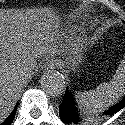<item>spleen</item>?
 <instances>
[{
  "label": "spleen",
  "instance_id": "1",
  "mask_svg": "<svg viewBox=\"0 0 125 125\" xmlns=\"http://www.w3.org/2000/svg\"><path fill=\"white\" fill-rule=\"evenodd\" d=\"M123 95H125V60L120 62L112 81L101 83L95 90L78 92L76 98L87 113H96L108 108Z\"/></svg>",
  "mask_w": 125,
  "mask_h": 125
}]
</instances>
